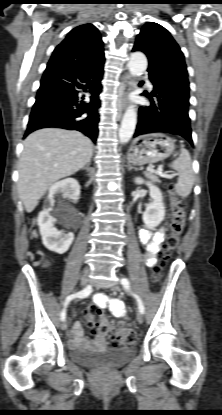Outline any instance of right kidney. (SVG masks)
Listing matches in <instances>:
<instances>
[{
    "mask_svg": "<svg viewBox=\"0 0 222 415\" xmlns=\"http://www.w3.org/2000/svg\"><path fill=\"white\" fill-rule=\"evenodd\" d=\"M59 195L77 202L80 196V185L77 180L67 178L56 182L49 188V206L39 213L37 221L44 246L55 253L64 254L72 244L74 234L72 232L65 233L64 231H59L55 227L56 217L65 216V209H53L55 197Z\"/></svg>",
    "mask_w": 222,
    "mask_h": 415,
    "instance_id": "1",
    "label": "right kidney"
}]
</instances>
